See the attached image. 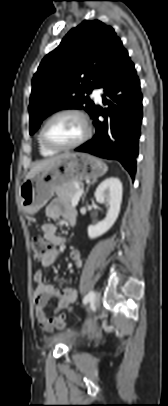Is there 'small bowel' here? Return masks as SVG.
Returning a JSON list of instances; mask_svg holds the SVG:
<instances>
[{
	"instance_id": "c3829d8e",
	"label": "small bowel",
	"mask_w": 168,
	"mask_h": 406,
	"mask_svg": "<svg viewBox=\"0 0 168 406\" xmlns=\"http://www.w3.org/2000/svg\"><path fill=\"white\" fill-rule=\"evenodd\" d=\"M45 212L46 215L53 220H58L60 217H64L69 223H74L76 218L75 210L60 200H53L46 207ZM42 233L44 239L51 243L54 247L49 258L41 263V268L33 275V280L37 284L34 294L35 315L38 324L43 329L51 330L52 326L46 313L50 302L52 300L56 301V313L66 309L73 311L72 304L77 298V291L73 287H66L62 290H58L54 285L44 283V270L49 269L54 264V261L59 253L57 247L65 244L68 240L57 234V225L52 222L43 224ZM70 259L76 265V267L80 268L82 266V256L78 250L71 251ZM56 281L60 282L61 278L57 277Z\"/></svg>"
}]
</instances>
